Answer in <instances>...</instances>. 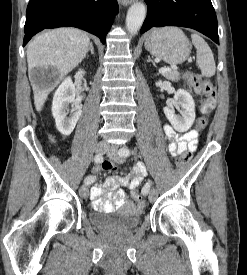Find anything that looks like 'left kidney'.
<instances>
[{
	"instance_id": "obj_1",
	"label": "left kidney",
	"mask_w": 247,
	"mask_h": 275,
	"mask_svg": "<svg viewBox=\"0 0 247 275\" xmlns=\"http://www.w3.org/2000/svg\"><path fill=\"white\" fill-rule=\"evenodd\" d=\"M174 108L179 109L180 115L175 113ZM163 110L169 122L178 132H186L194 123L195 103L192 96L184 89H178L173 101Z\"/></svg>"
}]
</instances>
